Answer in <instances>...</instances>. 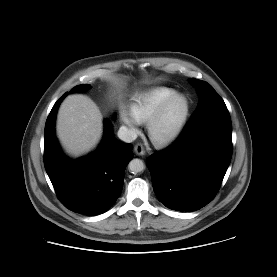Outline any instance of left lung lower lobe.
I'll use <instances>...</instances> for the list:
<instances>
[{"label": "left lung lower lobe", "mask_w": 277, "mask_h": 277, "mask_svg": "<svg viewBox=\"0 0 277 277\" xmlns=\"http://www.w3.org/2000/svg\"><path fill=\"white\" fill-rule=\"evenodd\" d=\"M232 156V124L227 108L189 121L178 140L148 157L158 200L177 211L207 205L220 188Z\"/></svg>", "instance_id": "0a47b994"}]
</instances>
